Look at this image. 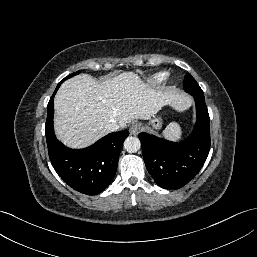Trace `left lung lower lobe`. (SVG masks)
<instances>
[{"label":"left lung lower lobe","instance_id":"obj_1","mask_svg":"<svg viewBox=\"0 0 257 257\" xmlns=\"http://www.w3.org/2000/svg\"><path fill=\"white\" fill-rule=\"evenodd\" d=\"M196 102L197 122L183 142H171L141 132L142 153L148 172L164 189H179L203 167L210 150L209 114L204 95H192Z\"/></svg>","mask_w":257,"mask_h":257}]
</instances>
